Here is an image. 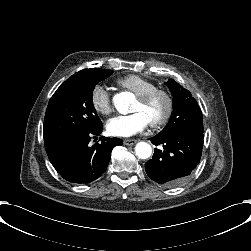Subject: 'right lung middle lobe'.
<instances>
[{
  "mask_svg": "<svg viewBox=\"0 0 251 251\" xmlns=\"http://www.w3.org/2000/svg\"><path fill=\"white\" fill-rule=\"evenodd\" d=\"M112 70H81L67 79L53 94L46 110L44 141L74 131H94L102 127L92 102L95 85Z\"/></svg>",
  "mask_w": 251,
  "mask_h": 251,
  "instance_id": "dd1d6c3e",
  "label": "right lung middle lobe"
}]
</instances>
